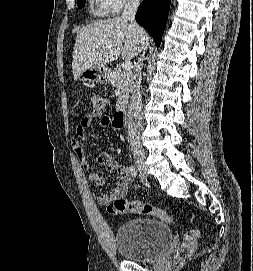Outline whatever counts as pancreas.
Returning a JSON list of instances; mask_svg holds the SVG:
<instances>
[{
	"label": "pancreas",
	"mask_w": 253,
	"mask_h": 271,
	"mask_svg": "<svg viewBox=\"0 0 253 271\" xmlns=\"http://www.w3.org/2000/svg\"><path fill=\"white\" fill-rule=\"evenodd\" d=\"M134 79L135 75L132 71H121L118 67L110 71V82L117 88L118 93L117 109H122L127 105Z\"/></svg>",
	"instance_id": "1"
}]
</instances>
